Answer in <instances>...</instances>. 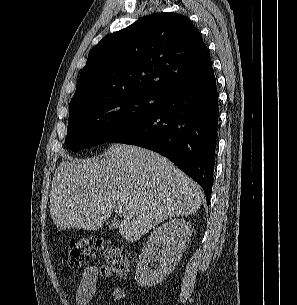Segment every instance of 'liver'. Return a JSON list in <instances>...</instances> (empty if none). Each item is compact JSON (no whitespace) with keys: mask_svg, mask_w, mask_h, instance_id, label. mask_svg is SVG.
I'll use <instances>...</instances> for the list:
<instances>
[{"mask_svg":"<svg viewBox=\"0 0 297 305\" xmlns=\"http://www.w3.org/2000/svg\"><path fill=\"white\" fill-rule=\"evenodd\" d=\"M201 202L198 184L167 158L125 144L112 145L101 159L61 162L50 190L58 229L97 230L122 206L119 232L128 241L168 218L195 214Z\"/></svg>","mask_w":297,"mask_h":305,"instance_id":"6515ba94","label":"liver"}]
</instances>
